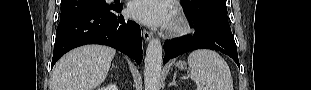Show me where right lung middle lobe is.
I'll list each match as a JSON object with an SVG mask.
<instances>
[{"mask_svg": "<svg viewBox=\"0 0 311 90\" xmlns=\"http://www.w3.org/2000/svg\"><path fill=\"white\" fill-rule=\"evenodd\" d=\"M60 20L73 14L88 10H105L113 5H108L105 0H62Z\"/></svg>", "mask_w": 311, "mask_h": 90, "instance_id": "1", "label": "right lung middle lobe"}]
</instances>
